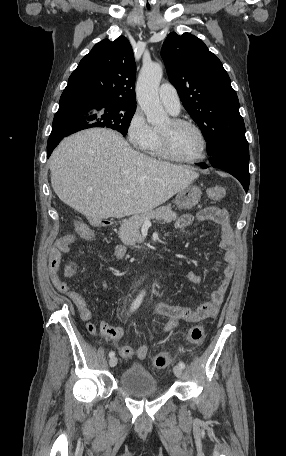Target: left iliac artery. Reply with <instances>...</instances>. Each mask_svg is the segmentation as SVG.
<instances>
[{
	"label": "left iliac artery",
	"mask_w": 286,
	"mask_h": 456,
	"mask_svg": "<svg viewBox=\"0 0 286 456\" xmlns=\"http://www.w3.org/2000/svg\"><path fill=\"white\" fill-rule=\"evenodd\" d=\"M178 366L181 367L182 369L185 368V364H184V362H182V361H180V362L178 363Z\"/></svg>",
	"instance_id": "left-iliac-artery-1"
}]
</instances>
